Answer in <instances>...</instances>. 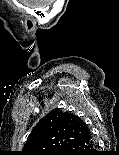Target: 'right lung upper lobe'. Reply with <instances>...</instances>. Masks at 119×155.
<instances>
[{
  "mask_svg": "<svg viewBox=\"0 0 119 155\" xmlns=\"http://www.w3.org/2000/svg\"><path fill=\"white\" fill-rule=\"evenodd\" d=\"M88 130L78 116L54 109L32 129L20 155H60Z\"/></svg>",
  "mask_w": 119,
  "mask_h": 155,
  "instance_id": "cb5924a9",
  "label": "right lung upper lobe"
}]
</instances>
